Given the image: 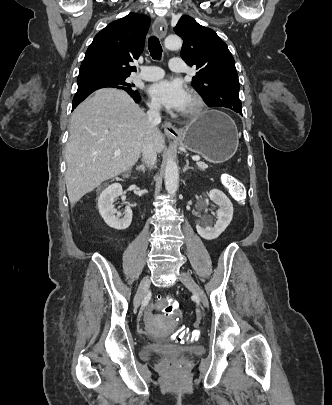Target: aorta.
Segmentation results:
<instances>
[{
	"mask_svg": "<svg viewBox=\"0 0 332 405\" xmlns=\"http://www.w3.org/2000/svg\"><path fill=\"white\" fill-rule=\"evenodd\" d=\"M165 48L169 50L179 49L182 46V40L179 36L170 35L164 41ZM165 188L168 194L173 195L177 191L179 181V171L173 158H168L165 166Z\"/></svg>",
	"mask_w": 332,
	"mask_h": 405,
	"instance_id": "obj_1",
	"label": "aorta"
}]
</instances>
